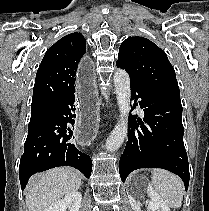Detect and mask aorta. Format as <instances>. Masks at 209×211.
<instances>
[{
    "instance_id": "762f6f07",
    "label": "aorta",
    "mask_w": 209,
    "mask_h": 211,
    "mask_svg": "<svg viewBox=\"0 0 209 211\" xmlns=\"http://www.w3.org/2000/svg\"><path fill=\"white\" fill-rule=\"evenodd\" d=\"M114 85L120 111V119L107 138L106 150L109 152L118 150L124 142L128 132V116L131 109L130 78L125 70H116L114 74Z\"/></svg>"
}]
</instances>
